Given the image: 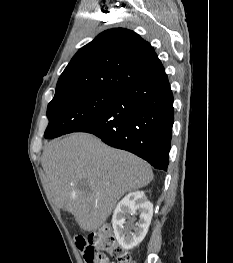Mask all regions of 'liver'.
Returning a JSON list of instances; mask_svg holds the SVG:
<instances>
[{
	"mask_svg": "<svg viewBox=\"0 0 233 263\" xmlns=\"http://www.w3.org/2000/svg\"><path fill=\"white\" fill-rule=\"evenodd\" d=\"M41 165L56 205L73 214L88 232L104 224L125 193L153 179L145 161L88 133L50 141Z\"/></svg>",
	"mask_w": 233,
	"mask_h": 263,
	"instance_id": "obj_1",
	"label": "liver"
}]
</instances>
